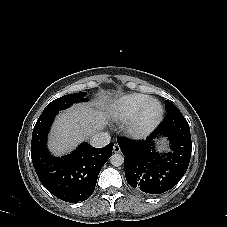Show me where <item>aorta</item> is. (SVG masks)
Masks as SVG:
<instances>
[{
	"instance_id": "aorta-1",
	"label": "aorta",
	"mask_w": 227,
	"mask_h": 227,
	"mask_svg": "<svg viewBox=\"0 0 227 227\" xmlns=\"http://www.w3.org/2000/svg\"><path fill=\"white\" fill-rule=\"evenodd\" d=\"M110 162L114 167H119L124 163V156L121 153H114L110 157Z\"/></svg>"
}]
</instances>
